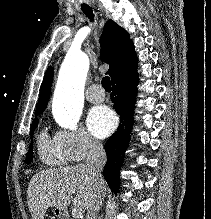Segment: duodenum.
Masks as SVG:
<instances>
[{"label": "duodenum", "mask_w": 211, "mask_h": 219, "mask_svg": "<svg viewBox=\"0 0 211 219\" xmlns=\"http://www.w3.org/2000/svg\"><path fill=\"white\" fill-rule=\"evenodd\" d=\"M58 215H59V218H60V219H69V214H68V212H67L66 210H64V209H59Z\"/></svg>", "instance_id": "duodenum-1"}]
</instances>
